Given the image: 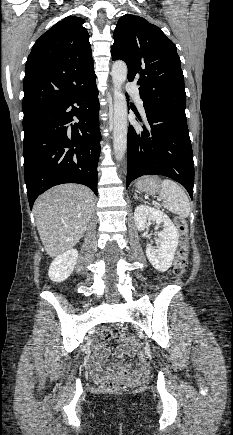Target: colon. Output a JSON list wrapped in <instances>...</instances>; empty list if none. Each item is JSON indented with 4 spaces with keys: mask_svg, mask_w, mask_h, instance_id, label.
Listing matches in <instances>:
<instances>
[{
    "mask_svg": "<svg viewBox=\"0 0 233 435\" xmlns=\"http://www.w3.org/2000/svg\"><path fill=\"white\" fill-rule=\"evenodd\" d=\"M174 223L179 230L181 237L180 243L176 249L174 274L178 277H181L184 275L186 270L189 248L187 239V223L183 218L178 216L174 218ZM98 336L104 341L114 338L116 343L134 344L140 347V344H138L129 334L120 332L114 335L112 330L105 326L98 329ZM124 387L125 386L123 384L110 379H106L101 383V391L105 394L119 393L124 390Z\"/></svg>",
    "mask_w": 233,
    "mask_h": 435,
    "instance_id": "5ec220e1",
    "label": "colon"
}]
</instances>
